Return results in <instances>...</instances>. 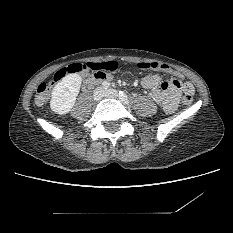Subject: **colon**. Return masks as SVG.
<instances>
[{
  "label": "colon",
  "mask_w": 233,
  "mask_h": 233,
  "mask_svg": "<svg viewBox=\"0 0 233 233\" xmlns=\"http://www.w3.org/2000/svg\"><path fill=\"white\" fill-rule=\"evenodd\" d=\"M97 67H102L101 65H98ZM137 67L140 69H148V70H154V71H163V72H171L170 67L160 61H153V62H140L137 64ZM83 69L82 64L80 63H73L66 67H63L56 71L51 81L49 82H43L41 83L35 93V102L37 104H43L45 103L50 94L51 88L58 82L62 81L67 75L69 74H76L79 73ZM193 101V98L190 94L185 93L182 97V104L184 107L188 108L191 106Z\"/></svg>",
  "instance_id": "colon-1"
}]
</instances>
